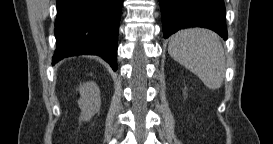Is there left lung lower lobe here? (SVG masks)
<instances>
[{
    "label": "left lung lower lobe",
    "instance_id": "1",
    "mask_svg": "<svg viewBox=\"0 0 273 144\" xmlns=\"http://www.w3.org/2000/svg\"><path fill=\"white\" fill-rule=\"evenodd\" d=\"M163 34H171L187 27H204L227 39L225 5L223 0H159Z\"/></svg>",
    "mask_w": 273,
    "mask_h": 144
}]
</instances>
